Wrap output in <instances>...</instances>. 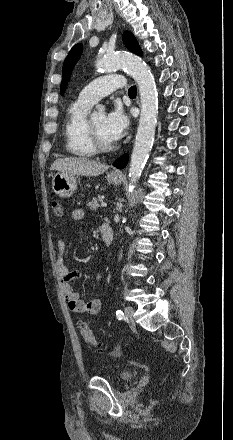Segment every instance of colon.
Returning a JSON list of instances; mask_svg holds the SVG:
<instances>
[{
  "mask_svg": "<svg viewBox=\"0 0 233 440\" xmlns=\"http://www.w3.org/2000/svg\"><path fill=\"white\" fill-rule=\"evenodd\" d=\"M52 210H53L54 215H56V216H62V214H63V208L58 201H53ZM78 327L80 329V333H81L84 341L90 346L98 347V343L95 339V336H94L92 330L90 329V327L88 326L87 322L84 320L78 321ZM120 354H121V351L119 348L114 349L112 352V355L116 356V357L120 356Z\"/></svg>",
  "mask_w": 233,
  "mask_h": 440,
  "instance_id": "obj_1",
  "label": "colon"
}]
</instances>
